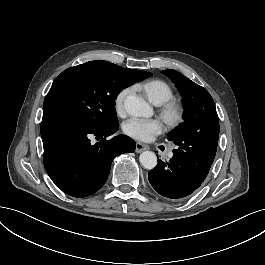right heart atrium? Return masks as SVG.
Instances as JSON below:
<instances>
[{"mask_svg": "<svg viewBox=\"0 0 265 265\" xmlns=\"http://www.w3.org/2000/svg\"><path fill=\"white\" fill-rule=\"evenodd\" d=\"M130 91L127 88H122L115 102V113L120 119H125L128 116V111L126 110L127 100L129 99Z\"/></svg>", "mask_w": 265, "mask_h": 265, "instance_id": "1", "label": "right heart atrium"}]
</instances>
